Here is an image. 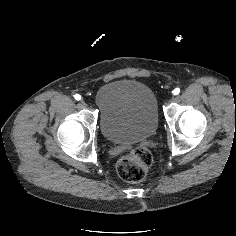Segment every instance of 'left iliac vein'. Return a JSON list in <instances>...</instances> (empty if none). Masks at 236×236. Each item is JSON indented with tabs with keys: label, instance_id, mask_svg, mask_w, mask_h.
I'll use <instances>...</instances> for the list:
<instances>
[{
	"label": "left iliac vein",
	"instance_id": "4c4485c4",
	"mask_svg": "<svg viewBox=\"0 0 236 236\" xmlns=\"http://www.w3.org/2000/svg\"><path fill=\"white\" fill-rule=\"evenodd\" d=\"M168 98H169L170 101H175L176 100V96L173 93L170 94ZM166 104L168 105L169 103L167 102Z\"/></svg>",
	"mask_w": 236,
	"mask_h": 236
}]
</instances>
